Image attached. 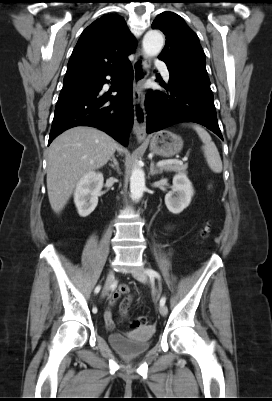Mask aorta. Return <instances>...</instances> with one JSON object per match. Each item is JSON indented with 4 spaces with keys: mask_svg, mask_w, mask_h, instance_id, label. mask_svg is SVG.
<instances>
[{
    "mask_svg": "<svg viewBox=\"0 0 272 401\" xmlns=\"http://www.w3.org/2000/svg\"><path fill=\"white\" fill-rule=\"evenodd\" d=\"M142 44L145 55L147 57H154L161 52L164 46V37L159 31L150 30L144 35ZM145 189V173L137 166L132 170L130 177L132 199L136 201L141 199Z\"/></svg>",
    "mask_w": 272,
    "mask_h": 401,
    "instance_id": "762f6f07",
    "label": "aorta"
}]
</instances>
